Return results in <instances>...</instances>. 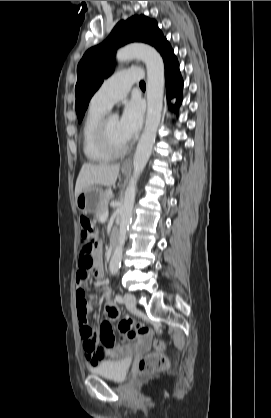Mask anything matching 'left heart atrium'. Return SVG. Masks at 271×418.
<instances>
[{
  "mask_svg": "<svg viewBox=\"0 0 271 418\" xmlns=\"http://www.w3.org/2000/svg\"><path fill=\"white\" fill-rule=\"evenodd\" d=\"M143 121V107L138 100L129 101L120 119L121 133L126 141L132 139L140 130Z\"/></svg>",
  "mask_w": 271,
  "mask_h": 418,
  "instance_id": "obj_1",
  "label": "left heart atrium"
}]
</instances>
